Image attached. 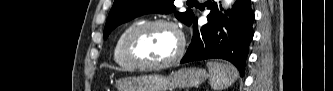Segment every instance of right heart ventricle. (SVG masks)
Here are the masks:
<instances>
[{"mask_svg":"<svg viewBox=\"0 0 333 91\" xmlns=\"http://www.w3.org/2000/svg\"><path fill=\"white\" fill-rule=\"evenodd\" d=\"M136 25L133 23L124 28L118 35L114 48H113V60L114 62L123 69H137L138 67L132 64L126 57L124 52V42L129 31Z\"/></svg>","mask_w":333,"mask_h":91,"instance_id":"right-heart-ventricle-1","label":"right heart ventricle"}]
</instances>
